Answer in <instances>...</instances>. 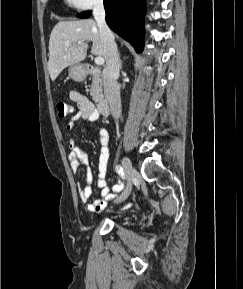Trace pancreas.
I'll return each instance as SVG.
<instances>
[{
	"mask_svg": "<svg viewBox=\"0 0 243 289\" xmlns=\"http://www.w3.org/2000/svg\"><path fill=\"white\" fill-rule=\"evenodd\" d=\"M102 87L103 81L100 76V72L96 71L92 75V85L90 89V95L92 97V100L96 103L103 99Z\"/></svg>",
	"mask_w": 243,
	"mask_h": 289,
	"instance_id": "1",
	"label": "pancreas"
}]
</instances>
